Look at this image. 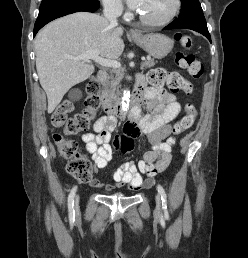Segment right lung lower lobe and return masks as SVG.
<instances>
[{"instance_id": "1", "label": "right lung lower lobe", "mask_w": 248, "mask_h": 258, "mask_svg": "<svg viewBox=\"0 0 248 258\" xmlns=\"http://www.w3.org/2000/svg\"><path fill=\"white\" fill-rule=\"evenodd\" d=\"M100 6L98 0H78L70 3H63L51 6L39 11L37 21L35 22L33 36L48 22L78 11L95 12Z\"/></svg>"}]
</instances>
